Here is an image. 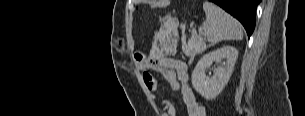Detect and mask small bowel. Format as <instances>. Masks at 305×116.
<instances>
[{"mask_svg":"<svg viewBox=\"0 0 305 116\" xmlns=\"http://www.w3.org/2000/svg\"><path fill=\"white\" fill-rule=\"evenodd\" d=\"M136 66L143 70V79L150 93L157 91L158 82L148 70L159 72L173 91L180 90L188 116H206L205 107L198 102L192 88L188 84V67L178 59L167 56L165 48L155 42L148 55L137 52L134 55ZM164 113L162 116H176V109L168 100H161Z\"/></svg>","mask_w":305,"mask_h":116,"instance_id":"obj_1","label":"small bowel"}]
</instances>
